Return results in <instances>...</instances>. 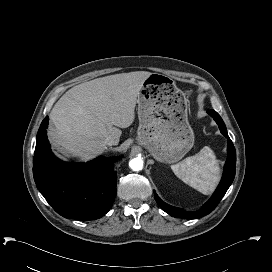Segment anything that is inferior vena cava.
Returning <instances> with one entry per match:
<instances>
[{
	"mask_svg": "<svg viewBox=\"0 0 272 272\" xmlns=\"http://www.w3.org/2000/svg\"><path fill=\"white\" fill-rule=\"evenodd\" d=\"M117 144H118V141L113 137H107L105 139V145H107V146H113V145H117Z\"/></svg>",
	"mask_w": 272,
	"mask_h": 272,
	"instance_id": "obj_1",
	"label": "inferior vena cava"
}]
</instances>
